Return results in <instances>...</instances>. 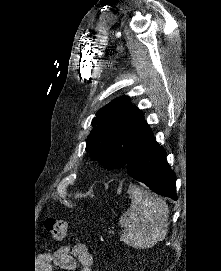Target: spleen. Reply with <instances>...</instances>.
<instances>
[{
  "label": "spleen",
  "instance_id": "3e777b00",
  "mask_svg": "<svg viewBox=\"0 0 221 271\" xmlns=\"http://www.w3.org/2000/svg\"><path fill=\"white\" fill-rule=\"evenodd\" d=\"M130 197L131 205L119 219V225L125 227L121 241L136 249L153 247L167 235L169 207L164 199L141 187H134Z\"/></svg>",
  "mask_w": 221,
  "mask_h": 271
}]
</instances>
